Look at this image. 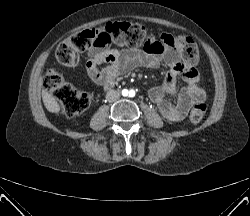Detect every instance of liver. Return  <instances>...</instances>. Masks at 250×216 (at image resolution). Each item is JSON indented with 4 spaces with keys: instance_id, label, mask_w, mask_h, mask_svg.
<instances>
[{
    "instance_id": "liver-1",
    "label": "liver",
    "mask_w": 250,
    "mask_h": 216,
    "mask_svg": "<svg viewBox=\"0 0 250 216\" xmlns=\"http://www.w3.org/2000/svg\"><path fill=\"white\" fill-rule=\"evenodd\" d=\"M42 99L46 109L52 113H59L60 106L56 99L51 96L46 90L42 91Z\"/></svg>"
}]
</instances>
